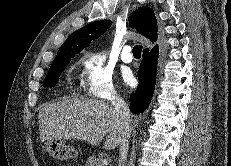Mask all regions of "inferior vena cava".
Returning <instances> with one entry per match:
<instances>
[{"instance_id": "1", "label": "inferior vena cava", "mask_w": 231, "mask_h": 166, "mask_svg": "<svg viewBox=\"0 0 231 166\" xmlns=\"http://www.w3.org/2000/svg\"><path fill=\"white\" fill-rule=\"evenodd\" d=\"M111 103L114 106L116 113L120 115L123 124L122 143L120 146L118 166H125L129 149V138L131 134L130 111L125 101L117 94L112 95Z\"/></svg>"}]
</instances>
